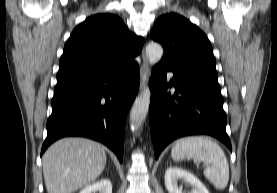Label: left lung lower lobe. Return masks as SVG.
I'll return each instance as SVG.
<instances>
[{"label": "left lung lower lobe", "mask_w": 277, "mask_h": 193, "mask_svg": "<svg viewBox=\"0 0 277 193\" xmlns=\"http://www.w3.org/2000/svg\"><path fill=\"white\" fill-rule=\"evenodd\" d=\"M167 72L174 73L169 83ZM172 86L173 96L166 92ZM150 88L149 123L156 159L170 142L188 135H211L232 151L217 76L180 74L158 64Z\"/></svg>", "instance_id": "obj_1"}]
</instances>
